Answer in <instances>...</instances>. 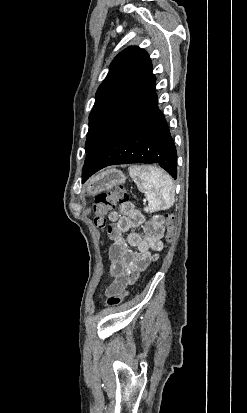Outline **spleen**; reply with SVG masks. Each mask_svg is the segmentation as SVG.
<instances>
[{"mask_svg":"<svg viewBox=\"0 0 247 413\" xmlns=\"http://www.w3.org/2000/svg\"><path fill=\"white\" fill-rule=\"evenodd\" d=\"M129 174L139 190L145 192L150 211H165L174 202L175 188L170 174L152 166H129Z\"/></svg>","mask_w":247,"mask_h":413,"instance_id":"spleen-1","label":"spleen"}]
</instances>
